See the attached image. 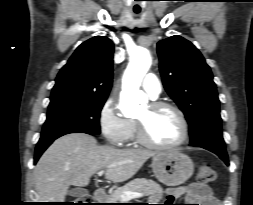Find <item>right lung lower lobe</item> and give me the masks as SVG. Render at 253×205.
<instances>
[{"mask_svg":"<svg viewBox=\"0 0 253 205\" xmlns=\"http://www.w3.org/2000/svg\"><path fill=\"white\" fill-rule=\"evenodd\" d=\"M75 132H82V131H64V132H60V133H57V134H51V135L41 136V138L38 141L37 146H36L34 163H36L38 161V159L42 155V153L47 149V147L55 139H57L60 136L65 135V134L75 133ZM82 133H86V132H82ZM87 134H89V133H87Z\"/></svg>","mask_w":253,"mask_h":205,"instance_id":"right-lung-lower-lobe-1","label":"right lung lower lobe"}]
</instances>
